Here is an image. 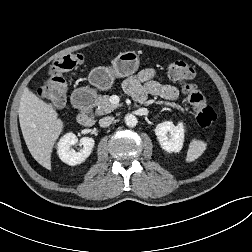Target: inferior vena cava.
Returning a JSON list of instances; mask_svg holds the SVG:
<instances>
[{
    "instance_id": "obj_1",
    "label": "inferior vena cava",
    "mask_w": 252,
    "mask_h": 252,
    "mask_svg": "<svg viewBox=\"0 0 252 252\" xmlns=\"http://www.w3.org/2000/svg\"><path fill=\"white\" fill-rule=\"evenodd\" d=\"M114 121V117L112 116H106L99 120V125L101 127H108L111 125V123Z\"/></svg>"
}]
</instances>
